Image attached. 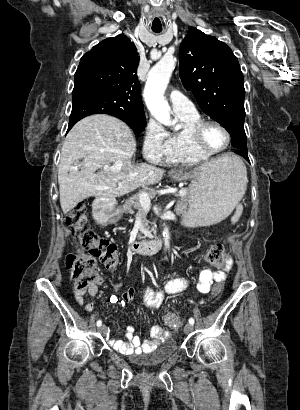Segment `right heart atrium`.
<instances>
[{"label":"right heart atrium","instance_id":"right-heart-atrium-1","mask_svg":"<svg viewBox=\"0 0 300 410\" xmlns=\"http://www.w3.org/2000/svg\"><path fill=\"white\" fill-rule=\"evenodd\" d=\"M167 131L155 119H148L144 130L143 153L153 161L160 160L166 149Z\"/></svg>","mask_w":300,"mask_h":410}]
</instances>
